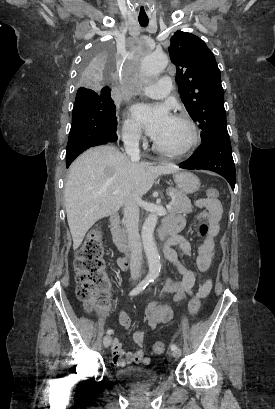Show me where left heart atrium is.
I'll return each instance as SVG.
<instances>
[{"instance_id": "obj_1", "label": "left heart atrium", "mask_w": 275, "mask_h": 409, "mask_svg": "<svg viewBox=\"0 0 275 409\" xmlns=\"http://www.w3.org/2000/svg\"><path fill=\"white\" fill-rule=\"evenodd\" d=\"M134 111L137 117L144 121L146 129L152 137L159 132L170 118L167 108L163 105L157 106L153 109L136 106Z\"/></svg>"}]
</instances>
